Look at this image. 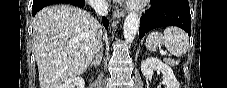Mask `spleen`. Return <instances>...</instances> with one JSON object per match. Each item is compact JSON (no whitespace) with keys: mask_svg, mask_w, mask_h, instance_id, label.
Masks as SVG:
<instances>
[{"mask_svg":"<svg viewBox=\"0 0 227 88\" xmlns=\"http://www.w3.org/2000/svg\"><path fill=\"white\" fill-rule=\"evenodd\" d=\"M145 45L149 51H156L158 47L164 45L172 55L180 57L187 52L189 37L178 27H167L163 34L157 31L149 33Z\"/></svg>","mask_w":227,"mask_h":88,"instance_id":"obj_1","label":"spleen"}]
</instances>
